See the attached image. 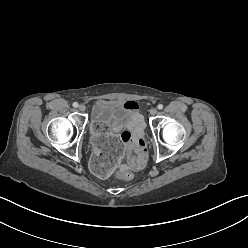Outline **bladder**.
Here are the masks:
<instances>
[{
  "mask_svg": "<svg viewBox=\"0 0 248 248\" xmlns=\"http://www.w3.org/2000/svg\"><path fill=\"white\" fill-rule=\"evenodd\" d=\"M131 116V111L124 104L117 101L98 100L92 108L93 125L102 122L117 129L126 124ZM92 131L94 132L93 126Z\"/></svg>",
  "mask_w": 248,
  "mask_h": 248,
  "instance_id": "obj_1",
  "label": "bladder"
}]
</instances>
